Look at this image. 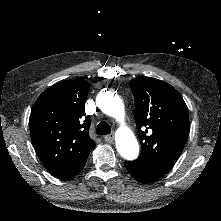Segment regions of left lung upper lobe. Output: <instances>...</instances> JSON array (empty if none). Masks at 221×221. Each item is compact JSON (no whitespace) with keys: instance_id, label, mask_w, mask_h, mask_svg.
<instances>
[{"instance_id":"left-lung-upper-lobe-1","label":"left lung upper lobe","mask_w":221,"mask_h":221,"mask_svg":"<svg viewBox=\"0 0 221 221\" xmlns=\"http://www.w3.org/2000/svg\"><path fill=\"white\" fill-rule=\"evenodd\" d=\"M130 86L142 147L135 161L161 177L174 166L187 141V105L175 88L161 80L139 76L130 81Z\"/></svg>"}]
</instances>
